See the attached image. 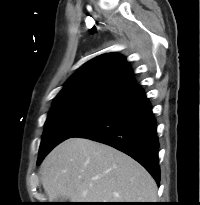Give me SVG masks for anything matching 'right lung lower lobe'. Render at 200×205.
I'll return each instance as SVG.
<instances>
[{"label":"right lung lower lobe","instance_id":"1","mask_svg":"<svg viewBox=\"0 0 200 205\" xmlns=\"http://www.w3.org/2000/svg\"><path fill=\"white\" fill-rule=\"evenodd\" d=\"M156 120L145 92L135 86L120 96L97 119L75 133L110 145L138 161L160 181Z\"/></svg>","mask_w":200,"mask_h":205}]
</instances>
